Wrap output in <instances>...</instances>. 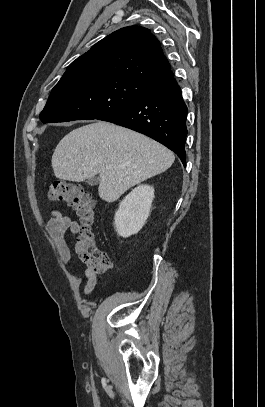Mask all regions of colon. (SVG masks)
I'll use <instances>...</instances> for the list:
<instances>
[{
	"mask_svg": "<svg viewBox=\"0 0 265 407\" xmlns=\"http://www.w3.org/2000/svg\"><path fill=\"white\" fill-rule=\"evenodd\" d=\"M51 201L63 202L76 211L85 230L78 237L75 250L81 262L91 271H104L110 266L109 256L96 246L91 227L96 219V201L93 196L79 186L66 182H53L48 188Z\"/></svg>",
	"mask_w": 265,
	"mask_h": 407,
	"instance_id": "colon-1",
	"label": "colon"
}]
</instances>
